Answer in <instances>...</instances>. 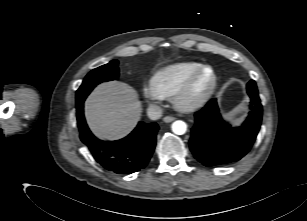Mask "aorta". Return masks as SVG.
I'll return each mask as SVG.
<instances>
[{"label": "aorta", "mask_w": 307, "mask_h": 221, "mask_svg": "<svg viewBox=\"0 0 307 221\" xmlns=\"http://www.w3.org/2000/svg\"><path fill=\"white\" fill-rule=\"evenodd\" d=\"M172 131L177 135H183L187 131V125L184 121L177 120L172 123Z\"/></svg>", "instance_id": "aorta-1"}]
</instances>
